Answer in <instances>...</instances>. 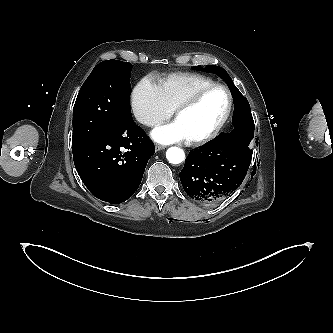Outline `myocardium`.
I'll use <instances>...</instances> for the list:
<instances>
[{
    "label": "myocardium",
    "instance_id": "f54148a6",
    "mask_svg": "<svg viewBox=\"0 0 333 333\" xmlns=\"http://www.w3.org/2000/svg\"><path fill=\"white\" fill-rule=\"evenodd\" d=\"M214 89H222L226 92L228 97V105L226 112L220 122L210 132L197 138L187 139L188 142L193 146H200L214 140L226 126L232 114L234 105V99L230 89L226 85L220 83H213L207 85L205 87H202L193 95H191L188 99L183 101L174 111V118L176 120L180 114L194 107L208 92Z\"/></svg>",
    "mask_w": 333,
    "mask_h": 333
}]
</instances>
